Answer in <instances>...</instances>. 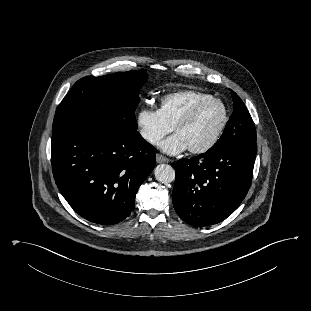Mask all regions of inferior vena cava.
Listing matches in <instances>:
<instances>
[{
    "mask_svg": "<svg viewBox=\"0 0 311 311\" xmlns=\"http://www.w3.org/2000/svg\"><path fill=\"white\" fill-rule=\"evenodd\" d=\"M141 135L143 138L147 139L150 142H155L157 140L156 136L146 130H142Z\"/></svg>",
    "mask_w": 311,
    "mask_h": 311,
    "instance_id": "602c4592",
    "label": "inferior vena cava"
}]
</instances>
